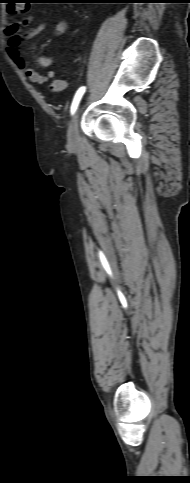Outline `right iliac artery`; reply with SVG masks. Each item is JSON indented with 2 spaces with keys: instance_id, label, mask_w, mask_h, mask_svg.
Segmentation results:
<instances>
[{
  "instance_id": "right-iliac-artery-1",
  "label": "right iliac artery",
  "mask_w": 190,
  "mask_h": 483,
  "mask_svg": "<svg viewBox=\"0 0 190 483\" xmlns=\"http://www.w3.org/2000/svg\"><path fill=\"white\" fill-rule=\"evenodd\" d=\"M85 87H80L78 89V91L76 92L75 96H74V99H73V102H72V105H71V114H74V112L76 111L77 109V106L85 92Z\"/></svg>"
}]
</instances>
